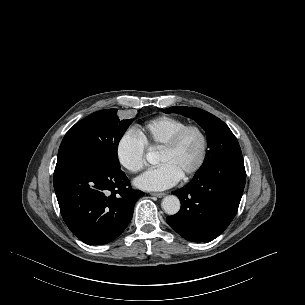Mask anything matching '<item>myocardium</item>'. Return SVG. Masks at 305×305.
Instances as JSON below:
<instances>
[{
	"label": "myocardium",
	"mask_w": 305,
	"mask_h": 305,
	"mask_svg": "<svg viewBox=\"0 0 305 305\" xmlns=\"http://www.w3.org/2000/svg\"><path fill=\"white\" fill-rule=\"evenodd\" d=\"M190 131H195L199 134L201 138V154L196 165L190 169L185 175L184 179H189L196 175L205 165L208 156V137L205 130L198 125H186L185 127L178 130L164 145L161 146L160 151H171L174 150L183 137Z\"/></svg>",
	"instance_id": "1"
}]
</instances>
